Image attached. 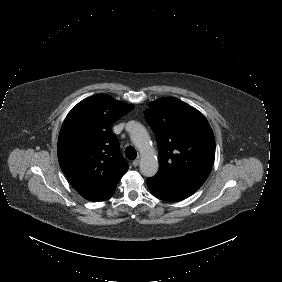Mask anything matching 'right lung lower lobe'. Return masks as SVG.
<instances>
[{
    "label": "right lung lower lobe",
    "mask_w": 282,
    "mask_h": 282,
    "mask_svg": "<svg viewBox=\"0 0 282 282\" xmlns=\"http://www.w3.org/2000/svg\"><path fill=\"white\" fill-rule=\"evenodd\" d=\"M110 196H111V195H110ZM110 196H108V197H106V198H104V199H102V200H100V201L106 200V199H108Z\"/></svg>",
    "instance_id": "1"
}]
</instances>
